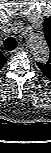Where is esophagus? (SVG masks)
Wrapping results in <instances>:
<instances>
[{"label": "esophagus", "mask_w": 51, "mask_h": 153, "mask_svg": "<svg viewBox=\"0 0 51 153\" xmlns=\"http://www.w3.org/2000/svg\"><path fill=\"white\" fill-rule=\"evenodd\" d=\"M22 51H23V49H22L21 47H18V48H16L15 50H13L12 53H13V54H16V53H20V52H22Z\"/></svg>", "instance_id": "1"}]
</instances>
